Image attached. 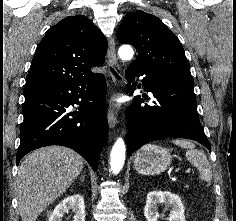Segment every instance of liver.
<instances>
[{
  "mask_svg": "<svg viewBox=\"0 0 236 221\" xmlns=\"http://www.w3.org/2000/svg\"><path fill=\"white\" fill-rule=\"evenodd\" d=\"M83 158L62 146L39 148L18 168L17 200L22 221H36L39 214L60 197L79 176Z\"/></svg>",
  "mask_w": 236,
  "mask_h": 221,
  "instance_id": "1",
  "label": "liver"
}]
</instances>
